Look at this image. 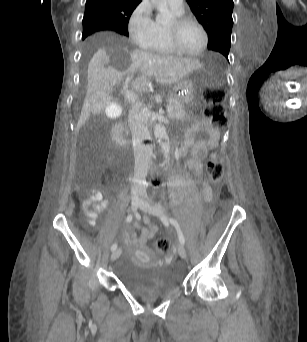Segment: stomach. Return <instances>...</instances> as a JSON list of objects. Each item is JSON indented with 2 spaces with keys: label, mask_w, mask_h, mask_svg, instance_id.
Returning a JSON list of instances; mask_svg holds the SVG:
<instances>
[{
  "label": "stomach",
  "mask_w": 307,
  "mask_h": 342,
  "mask_svg": "<svg viewBox=\"0 0 307 342\" xmlns=\"http://www.w3.org/2000/svg\"><path fill=\"white\" fill-rule=\"evenodd\" d=\"M201 75L202 70L196 69L174 85L173 95H175L182 104H189L194 99Z\"/></svg>",
  "instance_id": "0dacf381"
}]
</instances>
